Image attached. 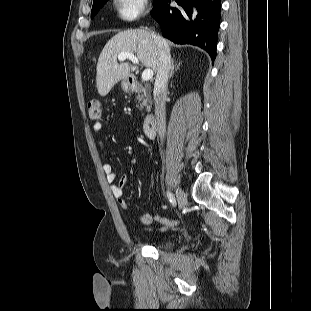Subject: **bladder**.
Returning <instances> with one entry per match:
<instances>
[{
  "instance_id": "bladder-1",
  "label": "bladder",
  "mask_w": 311,
  "mask_h": 311,
  "mask_svg": "<svg viewBox=\"0 0 311 311\" xmlns=\"http://www.w3.org/2000/svg\"><path fill=\"white\" fill-rule=\"evenodd\" d=\"M174 242H175L174 239H166V240L159 242L158 246L162 248H168V247H171L174 244Z\"/></svg>"
}]
</instances>
